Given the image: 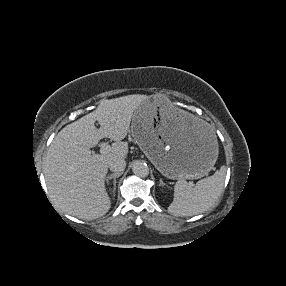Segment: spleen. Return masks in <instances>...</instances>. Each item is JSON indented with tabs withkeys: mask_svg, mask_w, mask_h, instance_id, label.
<instances>
[{
	"mask_svg": "<svg viewBox=\"0 0 286 286\" xmlns=\"http://www.w3.org/2000/svg\"><path fill=\"white\" fill-rule=\"evenodd\" d=\"M225 175L226 168L221 167L212 176L199 180L194 187L185 180H178L174 186V198L168 211L181 217L207 211L219 198Z\"/></svg>",
	"mask_w": 286,
	"mask_h": 286,
	"instance_id": "spleen-1",
	"label": "spleen"
}]
</instances>
